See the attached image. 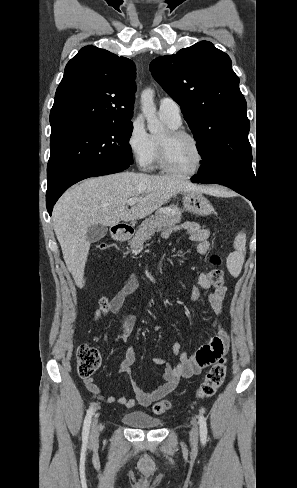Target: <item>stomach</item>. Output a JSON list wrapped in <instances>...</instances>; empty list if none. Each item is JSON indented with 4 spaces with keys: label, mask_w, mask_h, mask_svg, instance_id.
Masks as SVG:
<instances>
[{
    "label": "stomach",
    "mask_w": 297,
    "mask_h": 488,
    "mask_svg": "<svg viewBox=\"0 0 297 488\" xmlns=\"http://www.w3.org/2000/svg\"><path fill=\"white\" fill-rule=\"evenodd\" d=\"M183 207L198 216H208L213 213L212 205L199 192L183 191Z\"/></svg>",
    "instance_id": "stomach-1"
}]
</instances>
